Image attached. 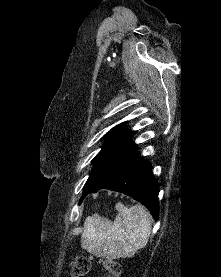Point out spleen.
Listing matches in <instances>:
<instances>
[{"label": "spleen", "instance_id": "obj_1", "mask_svg": "<svg viewBox=\"0 0 221 277\" xmlns=\"http://www.w3.org/2000/svg\"><path fill=\"white\" fill-rule=\"evenodd\" d=\"M114 222L94 215L84 223L81 246L109 259L130 258L144 248L151 234V216L141 205L117 204Z\"/></svg>", "mask_w": 221, "mask_h": 277}]
</instances>
